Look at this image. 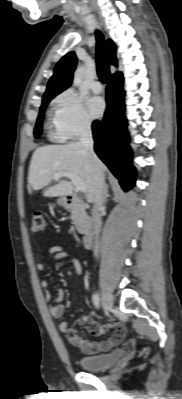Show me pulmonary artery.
Listing matches in <instances>:
<instances>
[{
    "label": "pulmonary artery",
    "mask_w": 182,
    "mask_h": 399,
    "mask_svg": "<svg viewBox=\"0 0 182 399\" xmlns=\"http://www.w3.org/2000/svg\"><path fill=\"white\" fill-rule=\"evenodd\" d=\"M90 88H91V90H92L94 93H101V92H102V89H103L101 83L98 82V81H94V82L91 84Z\"/></svg>",
    "instance_id": "pulmonary-artery-1"
}]
</instances>
